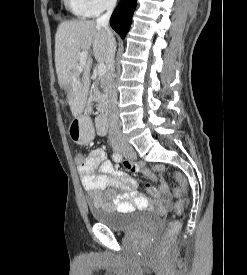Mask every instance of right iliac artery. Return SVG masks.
Segmentation results:
<instances>
[{
  "instance_id": "right-iliac-artery-1",
  "label": "right iliac artery",
  "mask_w": 247,
  "mask_h": 275,
  "mask_svg": "<svg viewBox=\"0 0 247 275\" xmlns=\"http://www.w3.org/2000/svg\"><path fill=\"white\" fill-rule=\"evenodd\" d=\"M112 158L115 162H120L122 160V156L119 153H113Z\"/></svg>"
}]
</instances>
